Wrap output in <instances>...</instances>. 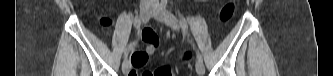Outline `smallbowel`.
Segmentation results:
<instances>
[{
    "instance_id": "small-bowel-1",
    "label": "small bowel",
    "mask_w": 333,
    "mask_h": 76,
    "mask_svg": "<svg viewBox=\"0 0 333 76\" xmlns=\"http://www.w3.org/2000/svg\"><path fill=\"white\" fill-rule=\"evenodd\" d=\"M102 23L103 25L108 27L113 23V20L110 18H103ZM141 38L144 40V42H147L148 46L145 52H136L132 55L131 59L135 68L134 71L142 68L145 65L148 57L155 52L157 46L156 42H159L160 34L159 32H152L151 30H146L145 32L141 33ZM144 72L146 71H143V73Z\"/></svg>"
}]
</instances>
